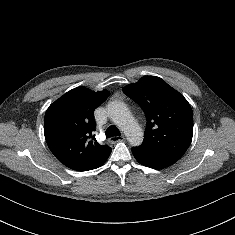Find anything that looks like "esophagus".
<instances>
[{
  "mask_svg": "<svg viewBox=\"0 0 235 235\" xmlns=\"http://www.w3.org/2000/svg\"><path fill=\"white\" fill-rule=\"evenodd\" d=\"M124 138L125 137L123 135L122 136H113V137L109 138V142L114 144V143H117L119 141H123Z\"/></svg>",
  "mask_w": 235,
  "mask_h": 235,
  "instance_id": "obj_1",
  "label": "esophagus"
}]
</instances>
